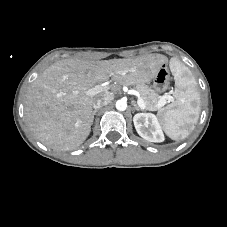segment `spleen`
Here are the masks:
<instances>
[{
	"label": "spleen",
	"instance_id": "spleen-1",
	"mask_svg": "<svg viewBox=\"0 0 227 227\" xmlns=\"http://www.w3.org/2000/svg\"><path fill=\"white\" fill-rule=\"evenodd\" d=\"M170 67L175 77V102L160 112L159 118L168 137L182 140L198 121L200 95L195 79L185 65L173 60Z\"/></svg>",
	"mask_w": 227,
	"mask_h": 227
}]
</instances>
